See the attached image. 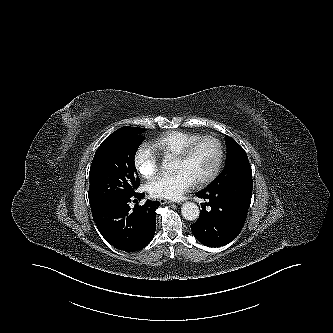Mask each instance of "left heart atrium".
<instances>
[{
    "mask_svg": "<svg viewBox=\"0 0 333 333\" xmlns=\"http://www.w3.org/2000/svg\"><path fill=\"white\" fill-rule=\"evenodd\" d=\"M195 184L194 179L185 171L161 174L148 184L149 193L156 198L179 200Z\"/></svg>",
    "mask_w": 333,
    "mask_h": 333,
    "instance_id": "1",
    "label": "left heart atrium"
}]
</instances>
